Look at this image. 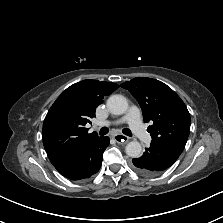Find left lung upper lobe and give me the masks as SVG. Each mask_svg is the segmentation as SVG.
Here are the masks:
<instances>
[{"mask_svg": "<svg viewBox=\"0 0 223 223\" xmlns=\"http://www.w3.org/2000/svg\"><path fill=\"white\" fill-rule=\"evenodd\" d=\"M141 106L152 142L165 143L183 150L190 132V114L181 98L166 84L146 77L124 82Z\"/></svg>", "mask_w": 223, "mask_h": 223, "instance_id": "left-lung-upper-lobe-1", "label": "left lung upper lobe"}]
</instances>
